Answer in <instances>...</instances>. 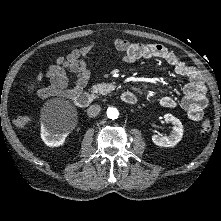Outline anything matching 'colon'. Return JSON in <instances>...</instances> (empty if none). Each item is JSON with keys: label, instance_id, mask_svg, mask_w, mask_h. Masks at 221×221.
I'll return each instance as SVG.
<instances>
[{"label": "colon", "instance_id": "1", "mask_svg": "<svg viewBox=\"0 0 221 221\" xmlns=\"http://www.w3.org/2000/svg\"><path fill=\"white\" fill-rule=\"evenodd\" d=\"M28 88L30 90H34L35 89V83H31ZM15 125L18 128H24L28 123H29V118L26 116H18L15 120H14ZM211 130V123L208 120H205L201 123L200 125V132L202 134L208 133Z\"/></svg>", "mask_w": 221, "mask_h": 221}]
</instances>
